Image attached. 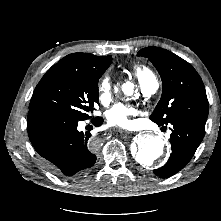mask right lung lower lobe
Returning <instances> with one entry per match:
<instances>
[{
  "instance_id": "98d812e1",
  "label": "right lung lower lobe",
  "mask_w": 221,
  "mask_h": 221,
  "mask_svg": "<svg viewBox=\"0 0 221 221\" xmlns=\"http://www.w3.org/2000/svg\"><path fill=\"white\" fill-rule=\"evenodd\" d=\"M79 121L57 112L36 109L28 112L29 139L45 167L58 176L79 175L96 161L91 134L77 130ZM92 122L100 126L103 119L97 117Z\"/></svg>"
}]
</instances>
